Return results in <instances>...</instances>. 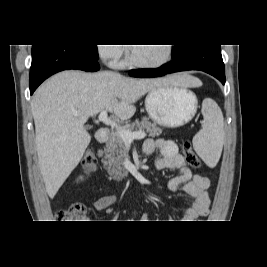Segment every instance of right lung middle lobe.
Wrapping results in <instances>:
<instances>
[{
  "label": "right lung middle lobe",
  "mask_w": 267,
  "mask_h": 267,
  "mask_svg": "<svg viewBox=\"0 0 267 267\" xmlns=\"http://www.w3.org/2000/svg\"><path fill=\"white\" fill-rule=\"evenodd\" d=\"M80 47L90 53L94 58L98 59V49L96 45H80Z\"/></svg>",
  "instance_id": "1"
}]
</instances>
